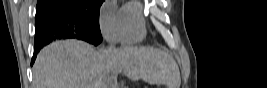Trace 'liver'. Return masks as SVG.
Wrapping results in <instances>:
<instances>
[{
  "mask_svg": "<svg viewBox=\"0 0 267 88\" xmlns=\"http://www.w3.org/2000/svg\"><path fill=\"white\" fill-rule=\"evenodd\" d=\"M124 71L134 81L178 88L180 73L171 55L150 47L126 46L96 50L92 45L68 39L51 43L37 55L34 88H98L113 70Z\"/></svg>",
  "mask_w": 267,
  "mask_h": 88,
  "instance_id": "1",
  "label": "liver"
}]
</instances>
